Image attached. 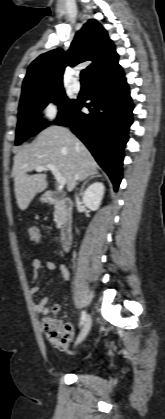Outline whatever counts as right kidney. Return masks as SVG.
Listing matches in <instances>:
<instances>
[{"mask_svg": "<svg viewBox=\"0 0 165 419\" xmlns=\"http://www.w3.org/2000/svg\"><path fill=\"white\" fill-rule=\"evenodd\" d=\"M104 185L101 182L91 184L83 194L82 200L87 208L96 211L101 205L104 195Z\"/></svg>", "mask_w": 165, "mask_h": 419, "instance_id": "ca27d5eb", "label": "right kidney"}]
</instances>
